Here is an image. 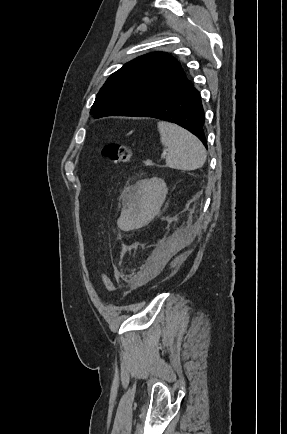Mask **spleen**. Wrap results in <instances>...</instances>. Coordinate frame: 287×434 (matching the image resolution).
<instances>
[{
    "label": "spleen",
    "mask_w": 287,
    "mask_h": 434,
    "mask_svg": "<svg viewBox=\"0 0 287 434\" xmlns=\"http://www.w3.org/2000/svg\"><path fill=\"white\" fill-rule=\"evenodd\" d=\"M158 130L162 145L168 148V167L195 170L204 165L206 149L196 136L176 124L164 121L158 122Z\"/></svg>",
    "instance_id": "spleen-1"
}]
</instances>
